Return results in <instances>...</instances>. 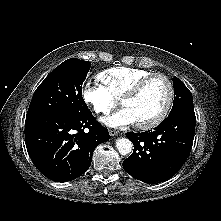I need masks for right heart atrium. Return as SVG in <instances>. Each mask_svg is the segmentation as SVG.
I'll return each mask as SVG.
<instances>
[{"label": "right heart atrium", "instance_id": "1", "mask_svg": "<svg viewBox=\"0 0 221 221\" xmlns=\"http://www.w3.org/2000/svg\"><path fill=\"white\" fill-rule=\"evenodd\" d=\"M81 94L83 101L98 115H107L118 105V102L99 84L86 83Z\"/></svg>", "mask_w": 221, "mask_h": 221}]
</instances>
